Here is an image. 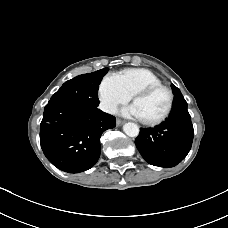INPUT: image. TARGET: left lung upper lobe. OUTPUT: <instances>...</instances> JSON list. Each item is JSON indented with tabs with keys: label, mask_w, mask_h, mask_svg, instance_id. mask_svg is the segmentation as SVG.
Masks as SVG:
<instances>
[{
	"label": "left lung upper lobe",
	"mask_w": 228,
	"mask_h": 228,
	"mask_svg": "<svg viewBox=\"0 0 228 228\" xmlns=\"http://www.w3.org/2000/svg\"><path fill=\"white\" fill-rule=\"evenodd\" d=\"M173 89H174V94L180 93V90L174 85H173Z\"/></svg>",
	"instance_id": "obj_1"
}]
</instances>
